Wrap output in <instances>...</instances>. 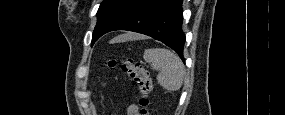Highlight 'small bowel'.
Masks as SVG:
<instances>
[{
	"label": "small bowel",
	"mask_w": 285,
	"mask_h": 115,
	"mask_svg": "<svg viewBox=\"0 0 285 115\" xmlns=\"http://www.w3.org/2000/svg\"><path fill=\"white\" fill-rule=\"evenodd\" d=\"M126 114L127 115H138L139 112H138L137 106L136 105L129 106V108L127 109Z\"/></svg>",
	"instance_id": "small-bowel-1"
}]
</instances>
